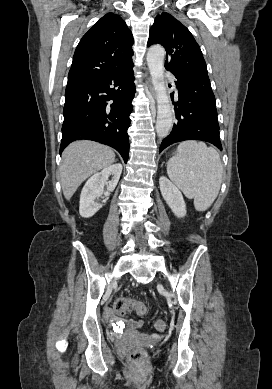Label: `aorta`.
Returning a JSON list of instances; mask_svg holds the SVG:
<instances>
[{"label": "aorta", "instance_id": "aorta-1", "mask_svg": "<svg viewBox=\"0 0 272 389\" xmlns=\"http://www.w3.org/2000/svg\"><path fill=\"white\" fill-rule=\"evenodd\" d=\"M165 50L160 45L151 46L147 52V64L157 99L156 133L158 137L168 136L173 125V112L164 81Z\"/></svg>", "mask_w": 272, "mask_h": 389}]
</instances>
